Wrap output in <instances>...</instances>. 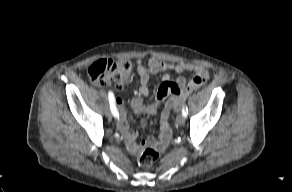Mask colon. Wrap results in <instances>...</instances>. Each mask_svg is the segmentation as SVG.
<instances>
[{
	"label": "colon",
	"instance_id": "obj_1",
	"mask_svg": "<svg viewBox=\"0 0 292 192\" xmlns=\"http://www.w3.org/2000/svg\"><path fill=\"white\" fill-rule=\"evenodd\" d=\"M130 74V63L112 59L97 60L88 68V76L92 82L101 86H111L115 89L123 88L129 80ZM160 149L157 146L145 148L138 157L139 166L149 167L153 165L159 157Z\"/></svg>",
	"mask_w": 292,
	"mask_h": 192
}]
</instances>
